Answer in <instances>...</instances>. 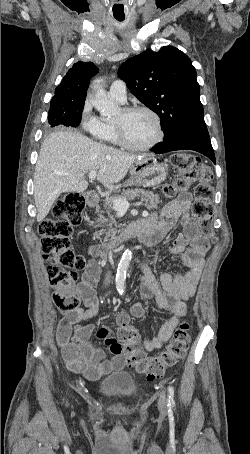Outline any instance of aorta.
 I'll list each match as a JSON object with an SVG mask.
<instances>
[{
    "label": "aorta",
    "instance_id": "aorta-1",
    "mask_svg": "<svg viewBox=\"0 0 250 454\" xmlns=\"http://www.w3.org/2000/svg\"><path fill=\"white\" fill-rule=\"evenodd\" d=\"M95 90L94 96L91 98L92 105L101 112L104 116L114 114L118 110V105L107 95L106 91L101 85L100 80H95L93 83ZM132 259L131 250H126L118 264L116 273V289L120 295L125 293V280L127 270Z\"/></svg>",
    "mask_w": 250,
    "mask_h": 454
}]
</instances>
